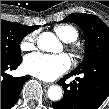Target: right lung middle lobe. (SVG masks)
Wrapping results in <instances>:
<instances>
[{
    "label": "right lung middle lobe",
    "instance_id": "dd1d6c3e",
    "mask_svg": "<svg viewBox=\"0 0 109 109\" xmlns=\"http://www.w3.org/2000/svg\"><path fill=\"white\" fill-rule=\"evenodd\" d=\"M35 29L33 26L1 20V60L21 59L19 44L27 34Z\"/></svg>",
    "mask_w": 109,
    "mask_h": 109
}]
</instances>
